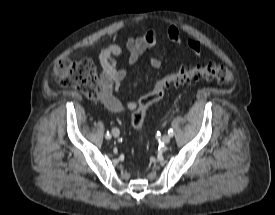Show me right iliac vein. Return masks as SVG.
Segmentation results:
<instances>
[{
  "mask_svg": "<svg viewBox=\"0 0 275 215\" xmlns=\"http://www.w3.org/2000/svg\"><path fill=\"white\" fill-rule=\"evenodd\" d=\"M112 134H113V136H114L115 138L119 137V135H120L119 129H118V128H114V129L112 130Z\"/></svg>",
  "mask_w": 275,
  "mask_h": 215,
  "instance_id": "63e3f726",
  "label": "right iliac vein"
}]
</instances>
